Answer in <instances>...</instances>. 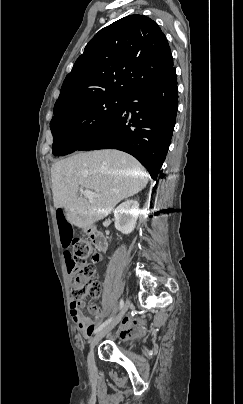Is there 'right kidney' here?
<instances>
[{"mask_svg": "<svg viewBox=\"0 0 243 404\" xmlns=\"http://www.w3.org/2000/svg\"><path fill=\"white\" fill-rule=\"evenodd\" d=\"M138 216L137 202H133V200L124 202L114 212L116 230H119L122 234H131L136 228Z\"/></svg>", "mask_w": 243, "mask_h": 404, "instance_id": "obj_1", "label": "right kidney"}]
</instances>
